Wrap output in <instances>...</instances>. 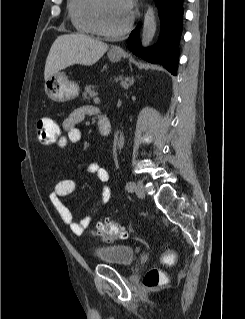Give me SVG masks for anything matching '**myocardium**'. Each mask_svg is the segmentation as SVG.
<instances>
[{"label":"myocardium","instance_id":"obj_1","mask_svg":"<svg viewBox=\"0 0 245 319\" xmlns=\"http://www.w3.org/2000/svg\"><path fill=\"white\" fill-rule=\"evenodd\" d=\"M94 16H95V23L98 29L99 34L107 37H119L127 33L133 25L134 22V15L130 14L128 21L126 24L116 30L109 29L103 19V0H96L95 7H94Z\"/></svg>","mask_w":245,"mask_h":319}]
</instances>
